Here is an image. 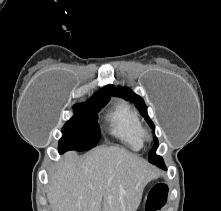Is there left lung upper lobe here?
Segmentation results:
<instances>
[{"mask_svg":"<svg viewBox=\"0 0 221 211\" xmlns=\"http://www.w3.org/2000/svg\"><path fill=\"white\" fill-rule=\"evenodd\" d=\"M112 94L114 96H119V97H123L124 99L128 100V101H134L135 106L139 109V111L142 113V115L145 117L147 123L154 129V124L153 122L150 120L148 114H147V107L144 103V100L137 94L131 92L128 88L126 87H120L118 86L116 89L113 90ZM158 148V140L155 137L154 138V146L151 149V151L149 152V161L152 164H155L157 166H160L163 162L162 157L158 156L155 154L156 149Z\"/></svg>","mask_w":221,"mask_h":211,"instance_id":"1","label":"left lung upper lobe"}]
</instances>
